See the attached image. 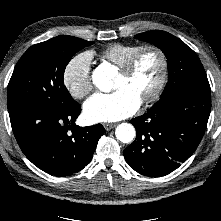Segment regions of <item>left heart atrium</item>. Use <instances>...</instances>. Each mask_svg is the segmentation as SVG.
Listing matches in <instances>:
<instances>
[{
	"label": "left heart atrium",
	"mask_w": 221,
	"mask_h": 221,
	"mask_svg": "<svg viewBox=\"0 0 221 221\" xmlns=\"http://www.w3.org/2000/svg\"><path fill=\"white\" fill-rule=\"evenodd\" d=\"M140 106V100L128 89L118 88L111 93L92 95L83 107L90 122H113L132 115Z\"/></svg>",
	"instance_id": "1"
}]
</instances>
